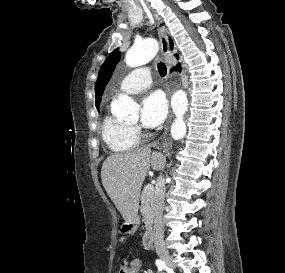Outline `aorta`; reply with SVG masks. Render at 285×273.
<instances>
[{
  "mask_svg": "<svg viewBox=\"0 0 285 273\" xmlns=\"http://www.w3.org/2000/svg\"><path fill=\"white\" fill-rule=\"evenodd\" d=\"M158 52V43L154 39H147L135 43L126 53L125 62L130 67H138L151 61ZM171 106L176 118L171 126V135L180 140L186 134V125L183 119L188 107L186 93L176 91L171 98ZM112 114L121 119L137 117L138 105L128 96L121 95L111 102Z\"/></svg>",
  "mask_w": 285,
  "mask_h": 273,
  "instance_id": "762f6f07",
  "label": "aorta"
}]
</instances>
